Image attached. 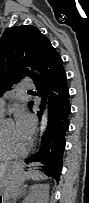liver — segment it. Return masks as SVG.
<instances>
[{
  "instance_id": "liver-1",
  "label": "liver",
  "mask_w": 89,
  "mask_h": 203,
  "mask_svg": "<svg viewBox=\"0 0 89 203\" xmlns=\"http://www.w3.org/2000/svg\"><path fill=\"white\" fill-rule=\"evenodd\" d=\"M6 168H7V165H6V164H2V165L0 166L1 177H3V175L5 174Z\"/></svg>"
}]
</instances>
